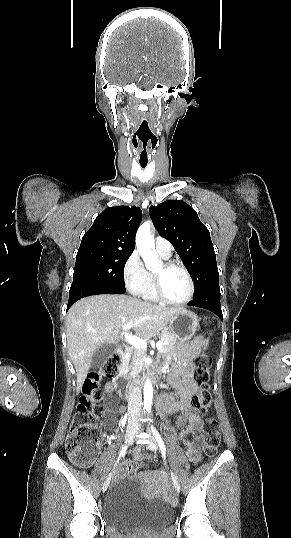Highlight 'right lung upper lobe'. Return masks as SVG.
<instances>
[{"instance_id": "cb5924a9", "label": "right lung upper lobe", "mask_w": 291, "mask_h": 538, "mask_svg": "<svg viewBox=\"0 0 291 538\" xmlns=\"http://www.w3.org/2000/svg\"><path fill=\"white\" fill-rule=\"evenodd\" d=\"M142 220L136 206H116L105 209L84 234L79 250L104 249L133 252L135 234Z\"/></svg>"}]
</instances>
